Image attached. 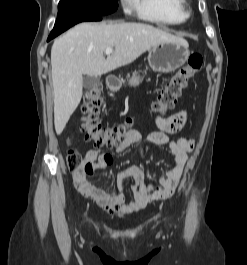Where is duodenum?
Masks as SVG:
<instances>
[{"mask_svg": "<svg viewBox=\"0 0 247 265\" xmlns=\"http://www.w3.org/2000/svg\"><path fill=\"white\" fill-rule=\"evenodd\" d=\"M106 84H107L108 88L112 89V88L117 86L118 80L115 76L109 75V76H107Z\"/></svg>", "mask_w": 247, "mask_h": 265, "instance_id": "duodenum-1", "label": "duodenum"}]
</instances>
